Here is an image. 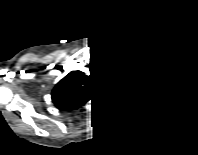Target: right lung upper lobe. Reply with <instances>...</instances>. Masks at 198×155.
Masks as SVG:
<instances>
[{
	"label": "right lung upper lobe",
	"mask_w": 198,
	"mask_h": 155,
	"mask_svg": "<svg viewBox=\"0 0 198 155\" xmlns=\"http://www.w3.org/2000/svg\"><path fill=\"white\" fill-rule=\"evenodd\" d=\"M96 83L91 76L72 71L60 80L52 91V101L58 109L76 110L93 96Z\"/></svg>",
	"instance_id": "cb5924a9"
}]
</instances>
